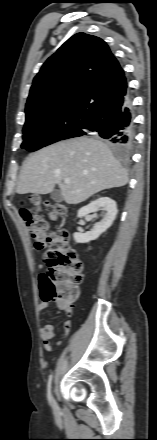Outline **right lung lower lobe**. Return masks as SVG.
Returning a JSON list of instances; mask_svg holds the SVG:
<instances>
[{
	"instance_id": "right-lung-lower-lobe-1",
	"label": "right lung lower lobe",
	"mask_w": 157,
	"mask_h": 440,
	"mask_svg": "<svg viewBox=\"0 0 157 440\" xmlns=\"http://www.w3.org/2000/svg\"><path fill=\"white\" fill-rule=\"evenodd\" d=\"M97 132L122 149H129L134 142L132 106L129 95L116 106L102 110L84 125V132ZM80 135V136H82Z\"/></svg>"
}]
</instances>
